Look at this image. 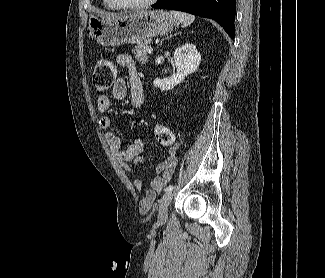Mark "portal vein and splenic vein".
Listing matches in <instances>:
<instances>
[{
    "mask_svg": "<svg viewBox=\"0 0 325 278\" xmlns=\"http://www.w3.org/2000/svg\"><path fill=\"white\" fill-rule=\"evenodd\" d=\"M147 52H148L149 54H152V53H153V49H152V47H149V48L147 49Z\"/></svg>",
    "mask_w": 325,
    "mask_h": 278,
    "instance_id": "obj_1",
    "label": "portal vein and splenic vein"
}]
</instances>
